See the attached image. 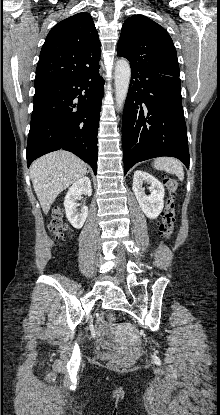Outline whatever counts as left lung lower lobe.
Instances as JSON below:
<instances>
[{
  "label": "left lung lower lobe",
  "instance_id": "1",
  "mask_svg": "<svg viewBox=\"0 0 220 415\" xmlns=\"http://www.w3.org/2000/svg\"><path fill=\"white\" fill-rule=\"evenodd\" d=\"M124 175L136 163L171 156L189 167L186 123L177 76L131 68L122 119Z\"/></svg>",
  "mask_w": 220,
  "mask_h": 415
}]
</instances>
